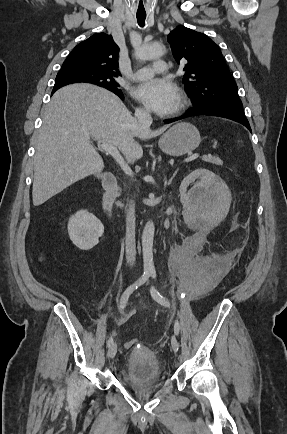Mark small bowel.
<instances>
[{
  "label": "small bowel",
  "mask_w": 287,
  "mask_h": 434,
  "mask_svg": "<svg viewBox=\"0 0 287 434\" xmlns=\"http://www.w3.org/2000/svg\"><path fill=\"white\" fill-rule=\"evenodd\" d=\"M128 315L127 314H123L121 316H113V321L115 324L119 325L122 324L126 321Z\"/></svg>",
  "instance_id": "obj_1"
}]
</instances>
